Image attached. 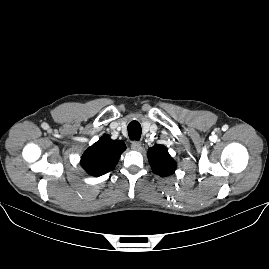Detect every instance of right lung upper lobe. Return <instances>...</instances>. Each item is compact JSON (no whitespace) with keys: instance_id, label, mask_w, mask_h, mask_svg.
Segmentation results:
<instances>
[{"instance_id":"right-lung-upper-lobe-1","label":"right lung upper lobe","mask_w":269,"mask_h":269,"mask_svg":"<svg viewBox=\"0 0 269 269\" xmlns=\"http://www.w3.org/2000/svg\"><path fill=\"white\" fill-rule=\"evenodd\" d=\"M126 145L121 140H112L104 134L89 147L81 157V165L92 176H101L111 171L117 164Z\"/></svg>"}]
</instances>
